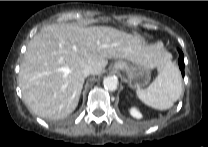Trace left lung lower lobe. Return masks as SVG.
Listing matches in <instances>:
<instances>
[{
  "label": "left lung lower lobe",
  "mask_w": 208,
  "mask_h": 147,
  "mask_svg": "<svg viewBox=\"0 0 208 147\" xmlns=\"http://www.w3.org/2000/svg\"><path fill=\"white\" fill-rule=\"evenodd\" d=\"M179 52V68L181 70L182 76H184V55L180 49H178Z\"/></svg>",
  "instance_id": "left-lung-lower-lobe-1"
}]
</instances>
